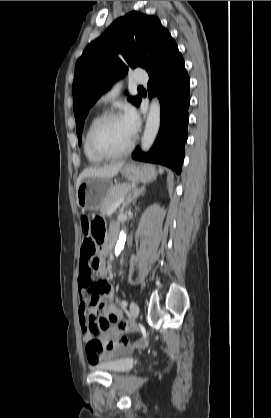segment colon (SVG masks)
Instances as JSON below:
<instances>
[{
  "mask_svg": "<svg viewBox=\"0 0 271 418\" xmlns=\"http://www.w3.org/2000/svg\"><path fill=\"white\" fill-rule=\"evenodd\" d=\"M81 226L82 231L84 233V237L89 238V241L95 242V255L97 252V249L99 246L104 242L105 237V225L102 219L96 218V219H89L88 217H82L81 218ZM86 270L89 271V262L86 263ZM125 324H120L119 328L121 330L125 329ZM91 332L97 336L99 334V328L97 326H94L91 329ZM121 342L128 343L129 340L126 336L121 337ZM100 347V344L97 341H93L90 344V348L92 349H98Z\"/></svg>",
  "mask_w": 271,
  "mask_h": 418,
  "instance_id": "1",
  "label": "colon"
}]
</instances>
